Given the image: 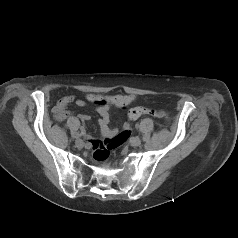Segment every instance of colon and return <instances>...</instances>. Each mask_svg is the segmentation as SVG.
<instances>
[{
	"instance_id": "colon-1",
	"label": "colon",
	"mask_w": 238,
	"mask_h": 238,
	"mask_svg": "<svg viewBox=\"0 0 238 238\" xmlns=\"http://www.w3.org/2000/svg\"><path fill=\"white\" fill-rule=\"evenodd\" d=\"M146 114L162 116L161 113L145 107H137L128 111L125 119H123L122 121L123 126L121 129V133L111 138L96 141L93 144L94 157L97 160H105L109 156L110 151L124 143L127 140L128 136L132 133V122H134L136 118Z\"/></svg>"
}]
</instances>
